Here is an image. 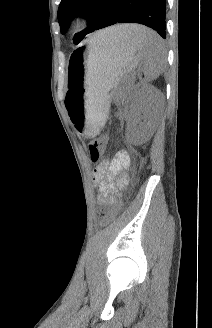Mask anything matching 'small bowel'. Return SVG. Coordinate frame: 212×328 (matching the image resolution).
Returning a JSON list of instances; mask_svg holds the SVG:
<instances>
[{
  "label": "small bowel",
  "mask_w": 212,
  "mask_h": 328,
  "mask_svg": "<svg viewBox=\"0 0 212 328\" xmlns=\"http://www.w3.org/2000/svg\"><path fill=\"white\" fill-rule=\"evenodd\" d=\"M130 158L126 151H118L110 159L100 162L93 170V181L101 204H113L115 195L128 184Z\"/></svg>",
  "instance_id": "small-bowel-1"
}]
</instances>
